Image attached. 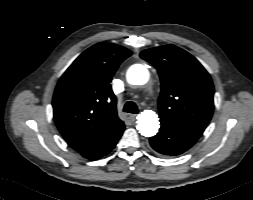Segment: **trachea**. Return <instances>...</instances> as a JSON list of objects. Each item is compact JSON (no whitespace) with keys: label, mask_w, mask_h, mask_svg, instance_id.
Masks as SVG:
<instances>
[{"label":"trachea","mask_w":253,"mask_h":200,"mask_svg":"<svg viewBox=\"0 0 253 200\" xmlns=\"http://www.w3.org/2000/svg\"><path fill=\"white\" fill-rule=\"evenodd\" d=\"M123 111L128 112V113L137 114L138 113V107L134 102L128 101L124 105Z\"/></svg>","instance_id":"1"}]
</instances>
